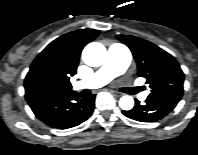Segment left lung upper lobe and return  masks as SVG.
Here are the masks:
<instances>
[{"mask_svg": "<svg viewBox=\"0 0 198 155\" xmlns=\"http://www.w3.org/2000/svg\"><path fill=\"white\" fill-rule=\"evenodd\" d=\"M133 53L138 75L146 78L151 88L148 98L179 101L183 94L184 73L172 55L142 38L118 35Z\"/></svg>", "mask_w": 198, "mask_h": 155, "instance_id": "5c2ea615", "label": "left lung upper lobe"}]
</instances>
